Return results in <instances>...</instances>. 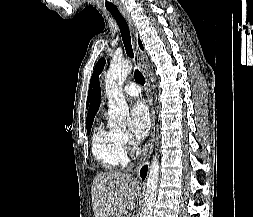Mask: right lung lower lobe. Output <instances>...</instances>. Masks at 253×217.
<instances>
[{
    "instance_id": "right-lung-lower-lobe-1",
    "label": "right lung lower lobe",
    "mask_w": 253,
    "mask_h": 217,
    "mask_svg": "<svg viewBox=\"0 0 253 217\" xmlns=\"http://www.w3.org/2000/svg\"><path fill=\"white\" fill-rule=\"evenodd\" d=\"M141 177H142V179L144 180L145 179V177H146V175H147V167L146 166H144L142 169H141Z\"/></svg>"
}]
</instances>
